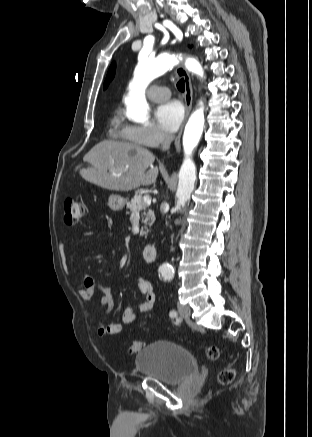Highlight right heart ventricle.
<instances>
[{
    "mask_svg": "<svg viewBox=\"0 0 312 437\" xmlns=\"http://www.w3.org/2000/svg\"><path fill=\"white\" fill-rule=\"evenodd\" d=\"M110 127H111V131L113 133V136L116 139L119 140H128L125 138L124 134H125V130H126V125L123 122L122 116L120 114V112H116L110 122Z\"/></svg>",
    "mask_w": 312,
    "mask_h": 437,
    "instance_id": "right-heart-ventricle-1",
    "label": "right heart ventricle"
}]
</instances>
